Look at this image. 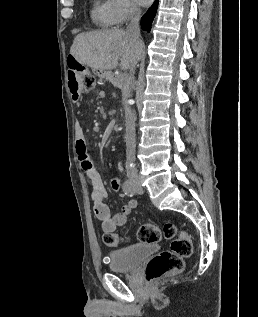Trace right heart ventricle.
<instances>
[{"label":"right heart ventricle","instance_id":"right-heart-ventricle-1","mask_svg":"<svg viewBox=\"0 0 258 317\" xmlns=\"http://www.w3.org/2000/svg\"><path fill=\"white\" fill-rule=\"evenodd\" d=\"M110 4L111 0H98L94 2L91 10V19L97 26L107 28L112 25Z\"/></svg>","mask_w":258,"mask_h":317}]
</instances>
